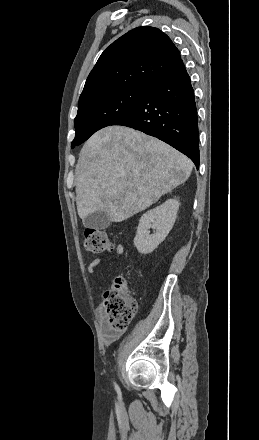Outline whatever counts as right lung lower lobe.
I'll list each match as a JSON object with an SVG mask.
<instances>
[{"label":"right lung lower lobe","mask_w":259,"mask_h":440,"mask_svg":"<svg viewBox=\"0 0 259 440\" xmlns=\"http://www.w3.org/2000/svg\"><path fill=\"white\" fill-rule=\"evenodd\" d=\"M112 125L154 136L188 156L199 168L197 110L182 60L152 83L136 106Z\"/></svg>","instance_id":"98d812e1"}]
</instances>
